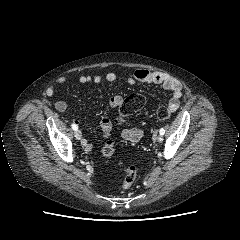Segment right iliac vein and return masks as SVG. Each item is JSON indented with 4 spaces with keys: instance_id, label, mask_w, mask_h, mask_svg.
Segmentation results:
<instances>
[{
    "instance_id": "1",
    "label": "right iliac vein",
    "mask_w": 240,
    "mask_h": 240,
    "mask_svg": "<svg viewBox=\"0 0 240 240\" xmlns=\"http://www.w3.org/2000/svg\"><path fill=\"white\" fill-rule=\"evenodd\" d=\"M81 137H82L81 131H80V130H76V131H75V138H76L77 140H80Z\"/></svg>"
}]
</instances>
